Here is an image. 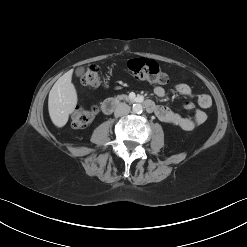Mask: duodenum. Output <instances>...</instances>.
Instances as JSON below:
<instances>
[{
	"instance_id": "duodenum-1",
	"label": "duodenum",
	"mask_w": 247,
	"mask_h": 247,
	"mask_svg": "<svg viewBox=\"0 0 247 247\" xmlns=\"http://www.w3.org/2000/svg\"><path fill=\"white\" fill-rule=\"evenodd\" d=\"M141 103L145 109L149 112H154L156 108V104L150 99L138 100L136 101ZM119 100L115 98H109L105 100L102 104V111L104 114H110L113 110L118 106Z\"/></svg>"
}]
</instances>
